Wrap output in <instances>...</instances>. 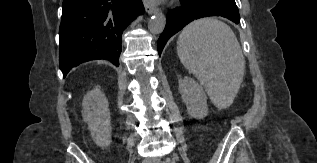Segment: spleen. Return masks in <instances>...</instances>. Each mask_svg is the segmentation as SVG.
<instances>
[{"label": "spleen", "mask_w": 317, "mask_h": 163, "mask_svg": "<svg viewBox=\"0 0 317 163\" xmlns=\"http://www.w3.org/2000/svg\"><path fill=\"white\" fill-rule=\"evenodd\" d=\"M177 53L217 108L232 104L243 80L245 60L227 24L215 18L193 21L181 32Z\"/></svg>", "instance_id": "spleen-1"}]
</instances>
